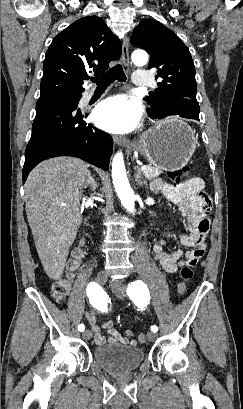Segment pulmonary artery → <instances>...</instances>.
Returning a JSON list of instances; mask_svg holds the SVG:
<instances>
[{
  "label": "pulmonary artery",
  "mask_w": 243,
  "mask_h": 409,
  "mask_svg": "<svg viewBox=\"0 0 243 409\" xmlns=\"http://www.w3.org/2000/svg\"><path fill=\"white\" fill-rule=\"evenodd\" d=\"M132 81H133L134 85L141 86V87H145V86H148L150 84L149 75H148V73L146 71H143V70L135 71L134 74H133ZM92 94H93L92 92L85 93L84 99L85 100L90 99Z\"/></svg>",
  "instance_id": "1"
}]
</instances>
